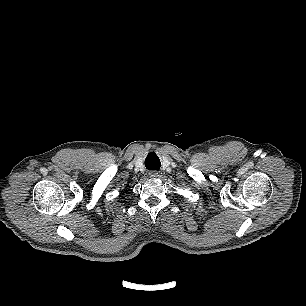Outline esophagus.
Wrapping results in <instances>:
<instances>
[{"instance_id": "esophagus-1", "label": "esophagus", "mask_w": 306, "mask_h": 306, "mask_svg": "<svg viewBox=\"0 0 306 306\" xmlns=\"http://www.w3.org/2000/svg\"><path fill=\"white\" fill-rule=\"evenodd\" d=\"M149 176H150L151 178H156V177L158 176V173H156V172H150V173H149Z\"/></svg>"}]
</instances>
